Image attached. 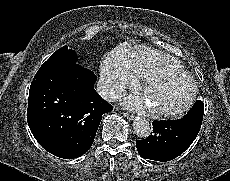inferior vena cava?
Masks as SVG:
<instances>
[{"label": "inferior vena cava", "instance_id": "602c4592", "mask_svg": "<svg viewBox=\"0 0 230 181\" xmlns=\"http://www.w3.org/2000/svg\"><path fill=\"white\" fill-rule=\"evenodd\" d=\"M96 91L107 101H115L122 94L121 88L103 78L97 81Z\"/></svg>", "mask_w": 230, "mask_h": 181}]
</instances>
